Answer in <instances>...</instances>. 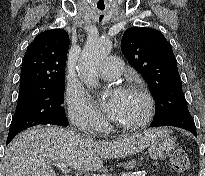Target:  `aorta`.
Wrapping results in <instances>:
<instances>
[{
    "label": "aorta",
    "instance_id": "aorta-1",
    "mask_svg": "<svg viewBox=\"0 0 205 176\" xmlns=\"http://www.w3.org/2000/svg\"><path fill=\"white\" fill-rule=\"evenodd\" d=\"M111 49L112 42L109 39H98L86 43L78 65V74L88 87H97L100 64Z\"/></svg>",
    "mask_w": 205,
    "mask_h": 176
}]
</instances>
